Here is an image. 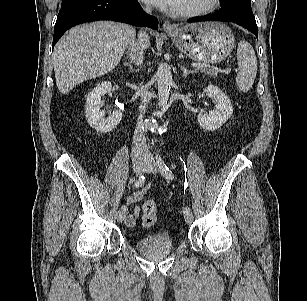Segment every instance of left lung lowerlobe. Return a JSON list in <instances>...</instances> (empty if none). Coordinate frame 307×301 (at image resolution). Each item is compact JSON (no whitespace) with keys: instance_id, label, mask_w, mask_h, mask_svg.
Instances as JSON below:
<instances>
[{"instance_id":"left-lung-lower-lobe-1","label":"left lung lower lobe","mask_w":307,"mask_h":301,"mask_svg":"<svg viewBox=\"0 0 307 301\" xmlns=\"http://www.w3.org/2000/svg\"><path fill=\"white\" fill-rule=\"evenodd\" d=\"M201 21H227L237 23L244 28L251 31L258 38L257 24L255 17L251 11H227L217 12L212 15L204 17L192 18L188 22H201Z\"/></svg>"}]
</instances>
